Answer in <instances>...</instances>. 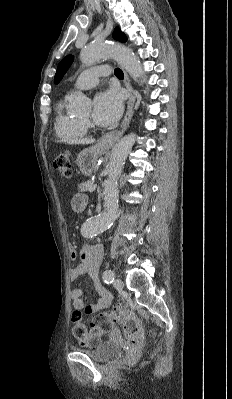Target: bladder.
I'll use <instances>...</instances> for the list:
<instances>
[{
    "instance_id": "bladder-1",
    "label": "bladder",
    "mask_w": 232,
    "mask_h": 399,
    "mask_svg": "<svg viewBox=\"0 0 232 399\" xmlns=\"http://www.w3.org/2000/svg\"><path fill=\"white\" fill-rule=\"evenodd\" d=\"M74 349L84 354H87L93 360L98 362H104L113 359L115 357H118L122 353V349L114 341L101 342L91 349Z\"/></svg>"
}]
</instances>
